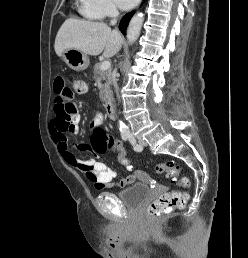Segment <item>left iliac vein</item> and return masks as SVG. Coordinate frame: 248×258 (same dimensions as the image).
Segmentation results:
<instances>
[{"label":"left iliac vein","mask_w":248,"mask_h":258,"mask_svg":"<svg viewBox=\"0 0 248 258\" xmlns=\"http://www.w3.org/2000/svg\"><path fill=\"white\" fill-rule=\"evenodd\" d=\"M139 145L141 146V147H145L146 145H147V143H146V141L144 140V139H142V138H139Z\"/></svg>","instance_id":"obj_1"}]
</instances>
